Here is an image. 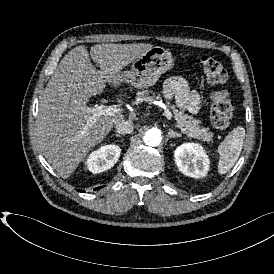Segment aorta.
Listing matches in <instances>:
<instances>
[{
    "mask_svg": "<svg viewBox=\"0 0 274 274\" xmlns=\"http://www.w3.org/2000/svg\"><path fill=\"white\" fill-rule=\"evenodd\" d=\"M143 140L146 145L158 146L162 140L161 131L157 128H151L145 133Z\"/></svg>",
    "mask_w": 274,
    "mask_h": 274,
    "instance_id": "1",
    "label": "aorta"
}]
</instances>
